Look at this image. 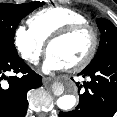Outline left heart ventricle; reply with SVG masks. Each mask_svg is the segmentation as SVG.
Segmentation results:
<instances>
[{"mask_svg":"<svg viewBox=\"0 0 117 117\" xmlns=\"http://www.w3.org/2000/svg\"><path fill=\"white\" fill-rule=\"evenodd\" d=\"M90 46L91 35L84 31L54 43L49 49V54L56 56L70 67L86 56Z\"/></svg>","mask_w":117,"mask_h":117,"instance_id":"left-heart-ventricle-1","label":"left heart ventricle"}]
</instances>
